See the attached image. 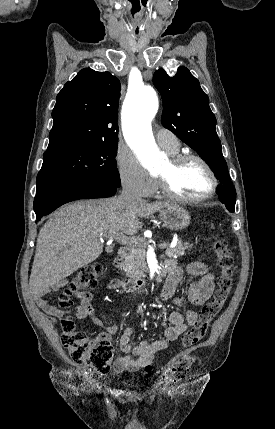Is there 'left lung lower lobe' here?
<instances>
[{"label": "left lung lower lobe", "instance_id": "0a47b994", "mask_svg": "<svg viewBox=\"0 0 275 429\" xmlns=\"http://www.w3.org/2000/svg\"><path fill=\"white\" fill-rule=\"evenodd\" d=\"M217 194L219 196V199L225 198L226 197V190L224 186H219L217 188Z\"/></svg>", "mask_w": 275, "mask_h": 429}]
</instances>
